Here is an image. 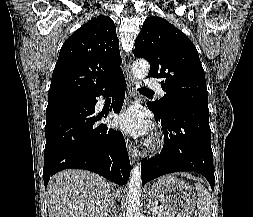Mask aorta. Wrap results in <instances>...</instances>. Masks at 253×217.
<instances>
[{"label": "aorta", "instance_id": "762f6f07", "mask_svg": "<svg viewBox=\"0 0 253 217\" xmlns=\"http://www.w3.org/2000/svg\"><path fill=\"white\" fill-rule=\"evenodd\" d=\"M149 69L150 65L147 61L143 59L136 60L132 66L134 79L137 81L144 79L148 75ZM141 186V166L140 163H137L133 167L129 179L126 217H140Z\"/></svg>", "mask_w": 253, "mask_h": 217}]
</instances>
